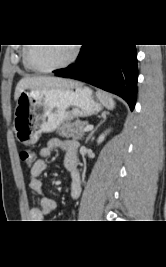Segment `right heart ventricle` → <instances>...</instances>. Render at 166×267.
Listing matches in <instances>:
<instances>
[{"label": "right heart ventricle", "instance_id": "obj_1", "mask_svg": "<svg viewBox=\"0 0 166 267\" xmlns=\"http://www.w3.org/2000/svg\"><path fill=\"white\" fill-rule=\"evenodd\" d=\"M25 50H26V48H24L22 50V64H23V67L25 68V70L31 72V71H33V69L26 62V59H25Z\"/></svg>", "mask_w": 166, "mask_h": 267}]
</instances>
